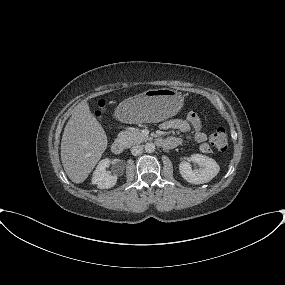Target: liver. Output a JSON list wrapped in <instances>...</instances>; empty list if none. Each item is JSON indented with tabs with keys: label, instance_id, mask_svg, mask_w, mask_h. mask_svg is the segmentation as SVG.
I'll use <instances>...</instances> for the list:
<instances>
[{
	"label": "liver",
	"instance_id": "6515ba94",
	"mask_svg": "<svg viewBox=\"0 0 285 285\" xmlns=\"http://www.w3.org/2000/svg\"><path fill=\"white\" fill-rule=\"evenodd\" d=\"M106 133L86 101L79 103L65 126L61 161L68 177L82 183L107 148Z\"/></svg>",
	"mask_w": 285,
	"mask_h": 285
}]
</instances>
